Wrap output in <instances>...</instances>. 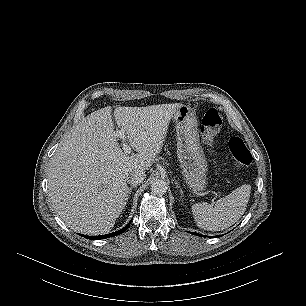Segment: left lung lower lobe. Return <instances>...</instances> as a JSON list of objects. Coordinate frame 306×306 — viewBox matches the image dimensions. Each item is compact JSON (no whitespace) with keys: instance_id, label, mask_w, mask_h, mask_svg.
<instances>
[{"instance_id":"left-lung-lower-lobe-1","label":"left lung lower lobe","mask_w":306,"mask_h":306,"mask_svg":"<svg viewBox=\"0 0 306 306\" xmlns=\"http://www.w3.org/2000/svg\"><path fill=\"white\" fill-rule=\"evenodd\" d=\"M192 234H194V235H198V236H203V235L198 234V233H192ZM204 237H207V236H204Z\"/></svg>"}]
</instances>
